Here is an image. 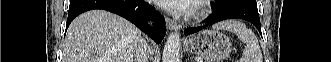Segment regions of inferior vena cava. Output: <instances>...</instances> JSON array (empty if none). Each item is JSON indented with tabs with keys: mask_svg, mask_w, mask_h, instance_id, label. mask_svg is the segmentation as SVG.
Listing matches in <instances>:
<instances>
[{
	"mask_svg": "<svg viewBox=\"0 0 331 62\" xmlns=\"http://www.w3.org/2000/svg\"><path fill=\"white\" fill-rule=\"evenodd\" d=\"M148 46L144 39H141L135 47V62H148L147 60Z\"/></svg>",
	"mask_w": 331,
	"mask_h": 62,
	"instance_id": "obj_1",
	"label": "inferior vena cava"
}]
</instances>
